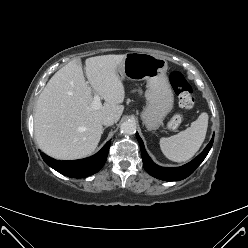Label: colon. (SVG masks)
<instances>
[{
    "instance_id": "obj_1",
    "label": "colon",
    "mask_w": 248,
    "mask_h": 248,
    "mask_svg": "<svg viewBox=\"0 0 248 248\" xmlns=\"http://www.w3.org/2000/svg\"><path fill=\"white\" fill-rule=\"evenodd\" d=\"M170 83L178 97L179 105L184 109L192 108L194 104L193 89L184 75L179 71L172 72L170 75ZM183 121L184 117L179 113L172 117L168 126L170 129H176Z\"/></svg>"
}]
</instances>
